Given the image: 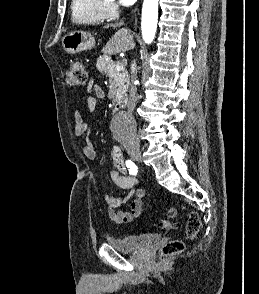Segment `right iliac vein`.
I'll return each mask as SVG.
<instances>
[{
    "mask_svg": "<svg viewBox=\"0 0 259 294\" xmlns=\"http://www.w3.org/2000/svg\"><path fill=\"white\" fill-rule=\"evenodd\" d=\"M129 154L135 161L142 162V156L139 148L135 147L129 149Z\"/></svg>",
    "mask_w": 259,
    "mask_h": 294,
    "instance_id": "right-iliac-vein-1",
    "label": "right iliac vein"
}]
</instances>
